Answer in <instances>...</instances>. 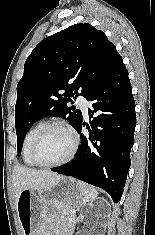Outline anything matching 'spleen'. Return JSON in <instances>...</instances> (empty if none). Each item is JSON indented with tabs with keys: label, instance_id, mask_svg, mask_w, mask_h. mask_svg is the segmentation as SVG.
Returning a JSON list of instances; mask_svg holds the SVG:
<instances>
[{
	"label": "spleen",
	"instance_id": "obj_1",
	"mask_svg": "<svg viewBox=\"0 0 155 235\" xmlns=\"http://www.w3.org/2000/svg\"><path fill=\"white\" fill-rule=\"evenodd\" d=\"M77 184H78V186L84 196V200L86 202L93 201L94 199L97 198L98 192L94 187H92L84 182H81V181H78Z\"/></svg>",
	"mask_w": 155,
	"mask_h": 235
}]
</instances>
